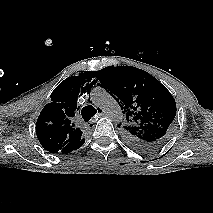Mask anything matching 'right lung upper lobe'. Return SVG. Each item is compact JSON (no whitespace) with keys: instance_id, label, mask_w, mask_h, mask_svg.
<instances>
[{"instance_id":"cb5924a9","label":"right lung upper lobe","mask_w":213,"mask_h":213,"mask_svg":"<svg viewBox=\"0 0 213 213\" xmlns=\"http://www.w3.org/2000/svg\"><path fill=\"white\" fill-rule=\"evenodd\" d=\"M72 76L61 82L51 94L52 102L40 113L36 123V134L42 147L51 153H69L84 143L82 131L74 116L77 98L90 92L96 83L94 72ZM79 109V107H78Z\"/></svg>"}]
</instances>
